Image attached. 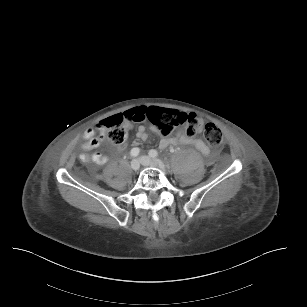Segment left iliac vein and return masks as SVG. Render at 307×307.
Wrapping results in <instances>:
<instances>
[{"label": "left iliac vein", "mask_w": 307, "mask_h": 307, "mask_svg": "<svg viewBox=\"0 0 307 307\" xmlns=\"http://www.w3.org/2000/svg\"><path fill=\"white\" fill-rule=\"evenodd\" d=\"M140 162L142 165L144 166H153V167H160V168H164L163 163L160 160L157 159H151L148 156H141L140 157Z\"/></svg>", "instance_id": "obj_1"}]
</instances>
